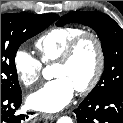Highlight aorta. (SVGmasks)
Wrapping results in <instances>:
<instances>
[{
    "instance_id": "1",
    "label": "aorta",
    "mask_w": 123,
    "mask_h": 123,
    "mask_svg": "<svg viewBox=\"0 0 123 123\" xmlns=\"http://www.w3.org/2000/svg\"><path fill=\"white\" fill-rule=\"evenodd\" d=\"M43 77L47 80H50L53 77L52 71L47 67L42 71ZM57 123H73L72 119L68 116H63L58 119Z\"/></svg>"
}]
</instances>
